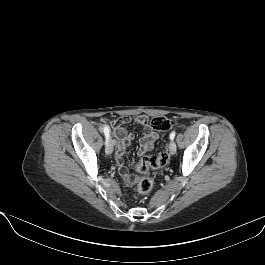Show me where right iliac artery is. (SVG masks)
Returning a JSON list of instances; mask_svg holds the SVG:
<instances>
[{"mask_svg":"<svg viewBox=\"0 0 265 265\" xmlns=\"http://www.w3.org/2000/svg\"><path fill=\"white\" fill-rule=\"evenodd\" d=\"M103 131H104V135H105V138H106V144H107V142L109 140V136H110V130H109V128L107 126H104L103 127Z\"/></svg>","mask_w":265,"mask_h":265,"instance_id":"82829eb1","label":"right iliac artery"}]
</instances>
